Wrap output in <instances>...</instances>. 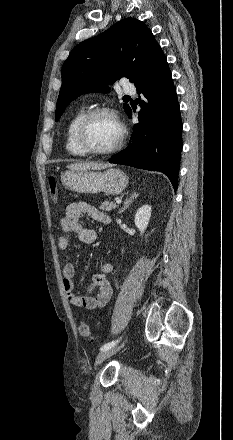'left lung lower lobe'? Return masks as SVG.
<instances>
[{"label":"left lung lower lobe","mask_w":233,"mask_h":440,"mask_svg":"<svg viewBox=\"0 0 233 440\" xmlns=\"http://www.w3.org/2000/svg\"><path fill=\"white\" fill-rule=\"evenodd\" d=\"M139 123L128 147L109 160L150 171H160L177 189L182 150V121L172 74L163 52L154 58L146 75L135 83ZM131 109L128 112L131 116Z\"/></svg>","instance_id":"left-lung-lower-lobe-1"}]
</instances>
